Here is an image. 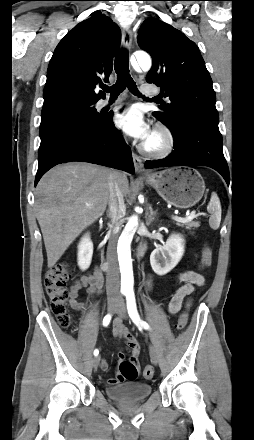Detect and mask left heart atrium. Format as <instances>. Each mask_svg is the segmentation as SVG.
I'll return each mask as SVG.
<instances>
[{
  "label": "left heart atrium",
  "instance_id": "left-heart-atrium-1",
  "mask_svg": "<svg viewBox=\"0 0 254 440\" xmlns=\"http://www.w3.org/2000/svg\"><path fill=\"white\" fill-rule=\"evenodd\" d=\"M115 123L127 135L143 142H147L153 134L150 125L138 107H130L118 114Z\"/></svg>",
  "mask_w": 254,
  "mask_h": 440
}]
</instances>
